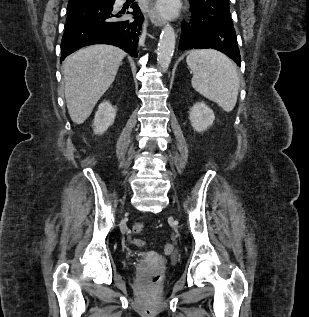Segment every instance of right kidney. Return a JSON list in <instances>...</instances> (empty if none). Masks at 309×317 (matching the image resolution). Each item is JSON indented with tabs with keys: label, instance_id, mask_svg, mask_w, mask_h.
<instances>
[{
	"label": "right kidney",
	"instance_id": "1",
	"mask_svg": "<svg viewBox=\"0 0 309 317\" xmlns=\"http://www.w3.org/2000/svg\"><path fill=\"white\" fill-rule=\"evenodd\" d=\"M116 110L108 101L102 102L95 113L93 130L95 134H103L113 123Z\"/></svg>",
	"mask_w": 309,
	"mask_h": 317
}]
</instances>
